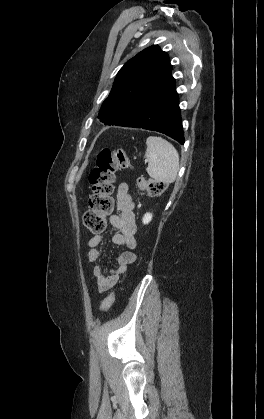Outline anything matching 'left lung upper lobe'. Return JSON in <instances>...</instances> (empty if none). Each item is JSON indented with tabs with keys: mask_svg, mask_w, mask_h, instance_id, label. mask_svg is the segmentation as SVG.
<instances>
[{
	"mask_svg": "<svg viewBox=\"0 0 264 419\" xmlns=\"http://www.w3.org/2000/svg\"><path fill=\"white\" fill-rule=\"evenodd\" d=\"M168 54L157 45L150 46L130 59L118 72L109 96L103 102L98 118L107 121L113 115L128 111L145 89L172 78Z\"/></svg>",
	"mask_w": 264,
	"mask_h": 419,
	"instance_id": "1",
	"label": "left lung upper lobe"
}]
</instances>
